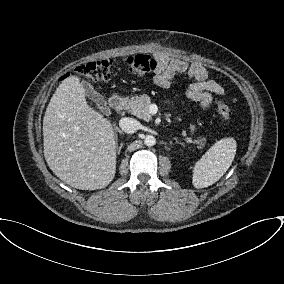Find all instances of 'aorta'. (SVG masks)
<instances>
[{
    "label": "aorta",
    "mask_w": 284,
    "mask_h": 284,
    "mask_svg": "<svg viewBox=\"0 0 284 284\" xmlns=\"http://www.w3.org/2000/svg\"><path fill=\"white\" fill-rule=\"evenodd\" d=\"M144 144L148 147L154 146L156 144V138L152 135H147L144 139Z\"/></svg>",
    "instance_id": "762f6f07"
}]
</instances>
